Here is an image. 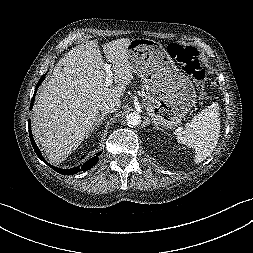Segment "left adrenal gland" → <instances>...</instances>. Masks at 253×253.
<instances>
[{"label":"left adrenal gland","instance_id":"1","mask_svg":"<svg viewBox=\"0 0 253 253\" xmlns=\"http://www.w3.org/2000/svg\"><path fill=\"white\" fill-rule=\"evenodd\" d=\"M154 129L161 130L162 132L164 131L163 129L159 128L158 126H155Z\"/></svg>","mask_w":253,"mask_h":253}]
</instances>
